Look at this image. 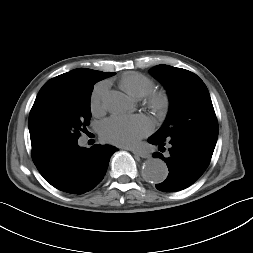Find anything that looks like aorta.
I'll list each match as a JSON object with an SVG mask.
<instances>
[{
  "label": "aorta",
  "mask_w": 253,
  "mask_h": 253,
  "mask_svg": "<svg viewBox=\"0 0 253 253\" xmlns=\"http://www.w3.org/2000/svg\"><path fill=\"white\" fill-rule=\"evenodd\" d=\"M103 103L105 107L115 113L126 112L131 105L127 95L120 91H110L105 96ZM142 174L148 182L162 183L168 176V168L164 161L159 158H150L145 161Z\"/></svg>",
  "instance_id": "1"
}]
</instances>
